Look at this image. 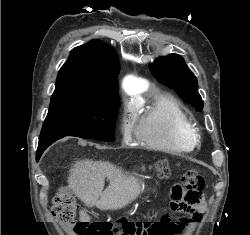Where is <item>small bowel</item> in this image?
Here are the masks:
<instances>
[{
  "instance_id": "small-bowel-1",
  "label": "small bowel",
  "mask_w": 250,
  "mask_h": 235,
  "mask_svg": "<svg viewBox=\"0 0 250 235\" xmlns=\"http://www.w3.org/2000/svg\"><path fill=\"white\" fill-rule=\"evenodd\" d=\"M183 210H175L177 217L175 219L163 218L159 222L163 225L165 235H180L188 222H199L201 214L205 211V204L200 201L199 204H183ZM81 218H86L85 211H80ZM128 235H140L138 232L131 231Z\"/></svg>"
}]
</instances>
